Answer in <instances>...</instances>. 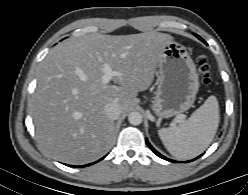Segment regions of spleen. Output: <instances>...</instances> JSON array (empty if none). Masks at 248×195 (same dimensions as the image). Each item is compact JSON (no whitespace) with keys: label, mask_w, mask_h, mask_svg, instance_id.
Masks as SVG:
<instances>
[{"label":"spleen","mask_w":248,"mask_h":195,"mask_svg":"<svg viewBox=\"0 0 248 195\" xmlns=\"http://www.w3.org/2000/svg\"><path fill=\"white\" fill-rule=\"evenodd\" d=\"M219 121L217 98L210 96L187 120L160 129L158 135L172 156L191 159L203 153L211 144Z\"/></svg>","instance_id":"obj_1"}]
</instances>
